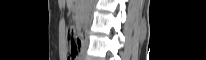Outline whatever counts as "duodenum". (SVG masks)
Returning a JSON list of instances; mask_svg holds the SVG:
<instances>
[{"mask_svg":"<svg viewBox=\"0 0 206 60\" xmlns=\"http://www.w3.org/2000/svg\"><path fill=\"white\" fill-rule=\"evenodd\" d=\"M80 31H81V34L84 35L86 33V30L83 26L80 27Z\"/></svg>","mask_w":206,"mask_h":60,"instance_id":"obj_1","label":"duodenum"}]
</instances>
